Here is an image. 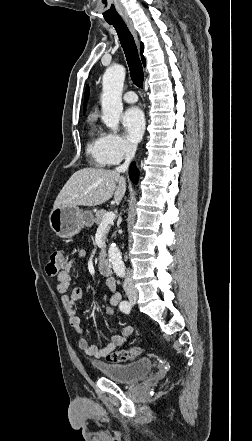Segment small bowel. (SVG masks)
<instances>
[{"label":"small bowel","instance_id":"obj_1","mask_svg":"<svg viewBox=\"0 0 252 441\" xmlns=\"http://www.w3.org/2000/svg\"><path fill=\"white\" fill-rule=\"evenodd\" d=\"M86 252L79 250L75 258L69 263V265L61 272L57 274V291L62 294L61 301L64 311L69 319L71 327H73L78 333H81V322L77 314V307L80 300L83 297V290L80 287H75L68 293V289L71 282V271L74 262L81 260L85 257ZM108 293L104 295L103 301L105 305L117 306L121 302V294L116 290V283L113 278H107L105 281ZM120 306V305H119ZM133 328L131 326H125L120 333L114 335L107 343H103L100 347L91 345L86 339H80L78 342L79 347L89 356L95 359L106 358L108 354L120 349L125 345L128 338L132 335Z\"/></svg>","mask_w":252,"mask_h":441}]
</instances>
